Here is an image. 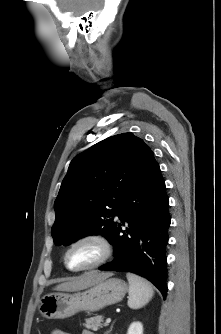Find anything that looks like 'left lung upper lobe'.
Wrapping results in <instances>:
<instances>
[{
    "instance_id": "left-lung-upper-lobe-1",
    "label": "left lung upper lobe",
    "mask_w": 221,
    "mask_h": 334,
    "mask_svg": "<svg viewBox=\"0 0 221 334\" xmlns=\"http://www.w3.org/2000/svg\"><path fill=\"white\" fill-rule=\"evenodd\" d=\"M154 159L132 133L111 136L77 155L54 203L55 245L91 234L110 241L123 200Z\"/></svg>"
}]
</instances>
